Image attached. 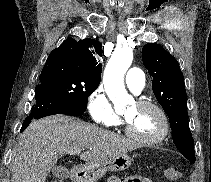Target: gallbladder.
<instances>
[{
  "mask_svg": "<svg viewBox=\"0 0 211 182\" xmlns=\"http://www.w3.org/2000/svg\"><path fill=\"white\" fill-rule=\"evenodd\" d=\"M52 173L55 177L64 178L65 175L68 173V170L65 167H62V166H55L52 169Z\"/></svg>",
  "mask_w": 211,
  "mask_h": 182,
  "instance_id": "obj_1",
  "label": "gallbladder"
}]
</instances>
